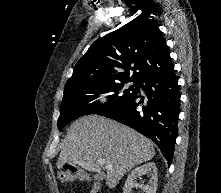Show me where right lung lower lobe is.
Segmentation results:
<instances>
[{
  "label": "right lung lower lobe",
  "mask_w": 221,
  "mask_h": 193,
  "mask_svg": "<svg viewBox=\"0 0 221 193\" xmlns=\"http://www.w3.org/2000/svg\"><path fill=\"white\" fill-rule=\"evenodd\" d=\"M140 87L147 96L146 103L144 97L137 94L121 106L98 115L125 124L153 140L170 165L180 113L178 78L172 69L147 77L140 82Z\"/></svg>",
  "instance_id": "98d812e1"
}]
</instances>
